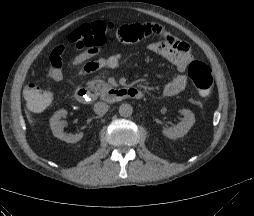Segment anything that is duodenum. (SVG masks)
<instances>
[{"label":"duodenum","mask_w":254,"mask_h":216,"mask_svg":"<svg viewBox=\"0 0 254 216\" xmlns=\"http://www.w3.org/2000/svg\"><path fill=\"white\" fill-rule=\"evenodd\" d=\"M95 97H100L105 102L113 103L126 98L140 99L142 92L136 88H108L100 92H94L86 87H80L75 92V98L81 104H86Z\"/></svg>","instance_id":"obj_1"}]
</instances>
